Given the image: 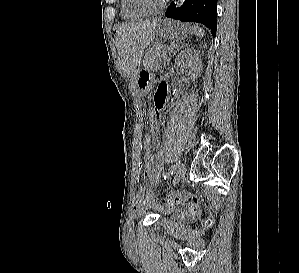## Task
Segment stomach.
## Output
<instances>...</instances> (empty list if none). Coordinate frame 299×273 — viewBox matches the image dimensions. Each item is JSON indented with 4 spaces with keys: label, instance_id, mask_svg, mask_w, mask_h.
I'll return each instance as SVG.
<instances>
[{
    "label": "stomach",
    "instance_id": "1",
    "mask_svg": "<svg viewBox=\"0 0 299 273\" xmlns=\"http://www.w3.org/2000/svg\"><path fill=\"white\" fill-rule=\"evenodd\" d=\"M181 31L179 25L171 20H162L157 26V34L164 38L170 39L176 37ZM138 76L136 77V85L140 93L145 94L149 90V84L152 79V72H149V67H138Z\"/></svg>",
    "mask_w": 299,
    "mask_h": 273
}]
</instances>
